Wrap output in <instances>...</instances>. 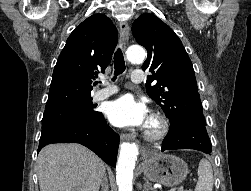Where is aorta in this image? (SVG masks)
I'll list each match as a JSON object with an SVG mask.
<instances>
[{"label":"aorta","instance_id":"aorta-1","mask_svg":"<svg viewBox=\"0 0 251 191\" xmlns=\"http://www.w3.org/2000/svg\"><path fill=\"white\" fill-rule=\"evenodd\" d=\"M146 56L147 54L141 46H130L126 50V58L129 62H143ZM137 155L136 143H122L116 165L119 191H132L133 169Z\"/></svg>","mask_w":251,"mask_h":191}]
</instances>
